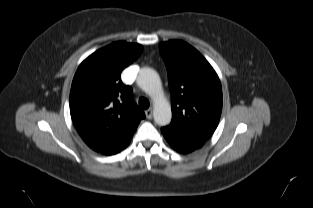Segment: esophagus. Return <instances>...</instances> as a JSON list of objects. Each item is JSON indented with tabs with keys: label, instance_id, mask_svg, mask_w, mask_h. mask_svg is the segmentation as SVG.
Segmentation results:
<instances>
[{
	"label": "esophagus",
	"instance_id": "obj_1",
	"mask_svg": "<svg viewBox=\"0 0 313 208\" xmlns=\"http://www.w3.org/2000/svg\"><path fill=\"white\" fill-rule=\"evenodd\" d=\"M145 115L148 119H151L152 116H153V109L152 108H149L145 111Z\"/></svg>",
	"mask_w": 313,
	"mask_h": 208
}]
</instances>
